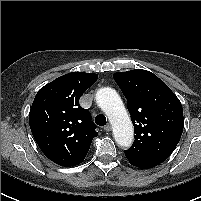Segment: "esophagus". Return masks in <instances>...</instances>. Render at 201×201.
Listing matches in <instances>:
<instances>
[{"label":"esophagus","mask_w":201,"mask_h":201,"mask_svg":"<svg viewBox=\"0 0 201 201\" xmlns=\"http://www.w3.org/2000/svg\"><path fill=\"white\" fill-rule=\"evenodd\" d=\"M104 130L106 132H110L111 131V125L110 124H107L106 126H104Z\"/></svg>","instance_id":"obj_1"}]
</instances>
